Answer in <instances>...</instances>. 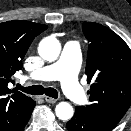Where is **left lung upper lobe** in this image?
Returning <instances> with one entry per match:
<instances>
[{
  "label": "left lung upper lobe",
  "instance_id": "obj_1",
  "mask_svg": "<svg viewBox=\"0 0 131 131\" xmlns=\"http://www.w3.org/2000/svg\"><path fill=\"white\" fill-rule=\"evenodd\" d=\"M82 29L90 42L85 72L91 104L78 107L110 131L131 105V50L103 25L84 22Z\"/></svg>",
  "mask_w": 131,
  "mask_h": 131
}]
</instances>
